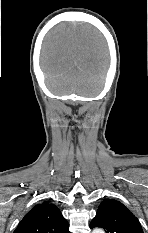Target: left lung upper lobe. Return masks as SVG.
<instances>
[{
	"label": "left lung upper lobe",
	"instance_id": "left-lung-upper-lobe-1",
	"mask_svg": "<svg viewBox=\"0 0 148 233\" xmlns=\"http://www.w3.org/2000/svg\"><path fill=\"white\" fill-rule=\"evenodd\" d=\"M100 227L106 233H143L138 219L121 202L105 199L100 204L90 228Z\"/></svg>",
	"mask_w": 148,
	"mask_h": 233
}]
</instances>
